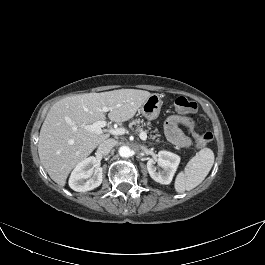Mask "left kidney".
<instances>
[{"instance_id":"1","label":"left kidney","mask_w":265,"mask_h":265,"mask_svg":"<svg viewBox=\"0 0 265 265\" xmlns=\"http://www.w3.org/2000/svg\"><path fill=\"white\" fill-rule=\"evenodd\" d=\"M158 163L162 170L155 166ZM180 163V157L169 151H159L156 159L147 162V170L150 177L160 184H170Z\"/></svg>"}]
</instances>
